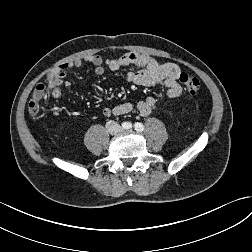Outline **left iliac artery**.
Listing matches in <instances>:
<instances>
[{
  "mask_svg": "<svg viewBox=\"0 0 252 252\" xmlns=\"http://www.w3.org/2000/svg\"><path fill=\"white\" fill-rule=\"evenodd\" d=\"M134 127H135V130H137L139 132H142L144 130V125L139 122L135 123Z\"/></svg>",
  "mask_w": 252,
  "mask_h": 252,
  "instance_id": "left-iliac-artery-1",
  "label": "left iliac artery"
}]
</instances>
